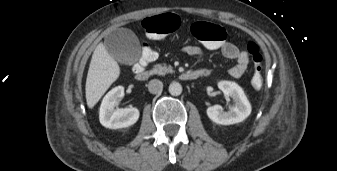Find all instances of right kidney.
<instances>
[{
    "mask_svg": "<svg viewBox=\"0 0 337 171\" xmlns=\"http://www.w3.org/2000/svg\"><path fill=\"white\" fill-rule=\"evenodd\" d=\"M124 97V87L118 86L109 91L102 100L99 120L110 129L126 128L135 124L139 118V110L134 107L115 109L121 98Z\"/></svg>",
    "mask_w": 337,
    "mask_h": 171,
    "instance_id": "ca27d5eb",
    "label": "right kidney"
}]
</instances>
